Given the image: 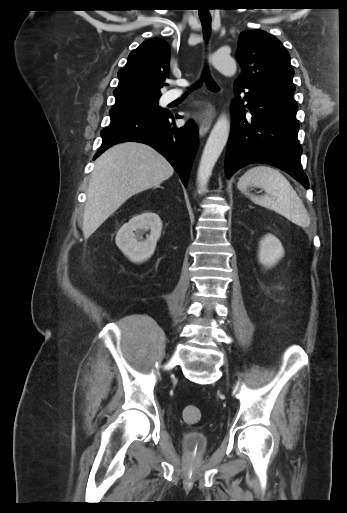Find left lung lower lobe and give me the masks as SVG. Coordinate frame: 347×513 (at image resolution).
<instances>
[{"instance_id":"obj_1","label":"left lung lower lobe","mask_w":347,"mask_h":513,"mask_svg":"<svg viewBox=\"0 0 347 513\" xmlns=\"http://www.w3.org/2000/svg\"><path fill=\"white\" fill-rule=\"evenodd\" d=\"M244 89H247L246 92ZM244 92V94H241ZM293 89L234 83L226 175L250 163H266L287 172L308 189L297 135Z\"/></svg>"}]
</instances>
